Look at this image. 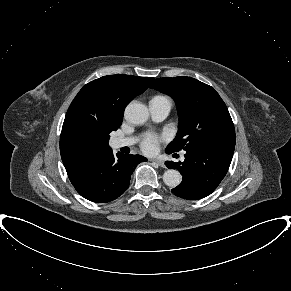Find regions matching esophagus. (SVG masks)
Listing matches in <instances>:
<instances>
[{
    "instance_id": "1",
    "label": "esophagus",
    "mask_w": 291,
    "mask_h": 291,
    "mask_svg": "<svg viewBox=\"0 0 291 291\" xmlns=\"http://www.w3.org/2000/svg\"><path fill=\"white\" fill-rule=\"evenodd\" d=\"M152 161H153L154 163L158 164L160 167H163V168L165 167L164 162L161 161V160L153 159Z\"/></svg>"
}]
</instances>
